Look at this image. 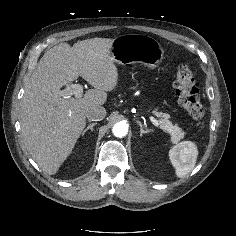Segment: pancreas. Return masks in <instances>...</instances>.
<instances>
[{
  "label": "pancreas",
  "mask_w": 236,
  "mask_h": 236,
  "mask_svg": "<svg viewBox=\"0 0 236 236\" xmlns=\"http://www.w3.org/2000/svg\"><path fill=\"white\" fill-rule=\"evenodd\" d=\"M153 113L160 117V126L161 128L171 136V140L173 142H178L180 139H182L185 135V132L182 128H180L177 125H173L171 121L169 120L170 115L166 113L157 112V110H154Z\"/></svg>",
  "instance_id": "obj_1"
}]
</instances>
